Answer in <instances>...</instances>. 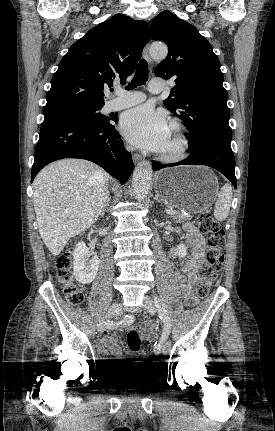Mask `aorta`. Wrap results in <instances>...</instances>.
Listing matches in <instances>:
<instances>
[{"label":"aorta","instance_id":"1","mask_svg":"<svg viewBox=\"0 0 275 431\" xmlns=\"http://www.w3.org/2000/svg\"><path fill=\"white\" fill-rule=\"evenodd\" d=\"M167 53L168 49L165 45L153 44L150 47V55L154 59H164L167 56ZM152 172L151 163L145 160L138 163L134 170L132 179L133 194L138 201H142L149 193Z\"/></svg>","mask_w":275,"mask_h":431}]
</instances>
